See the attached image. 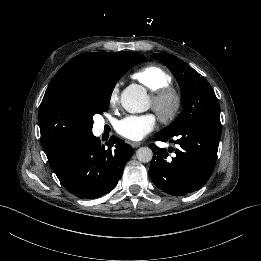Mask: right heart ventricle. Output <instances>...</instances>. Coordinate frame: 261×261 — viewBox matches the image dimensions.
<instances>
[{"label": "right heart ventricle", "instance_id": "1", "mask_svg": "<svg viewBox=\"0 0 261 261\" xmlns=\"http://www.w3.org/2000/svg\"><path fill=\"white\" fill-rule=\"evenodd\" d=\"M135 78L152 93L171 83L170 75L162 67L155 64L141 68L136 73Z\"/></svg>", "mask_w": 261, "mask_h": 261}]
</instances>
